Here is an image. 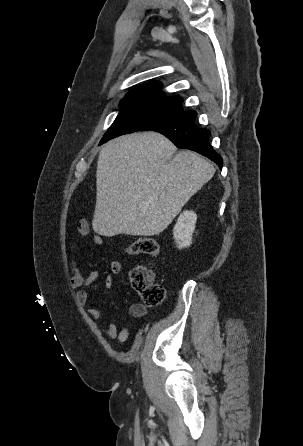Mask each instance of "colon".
Segmentation results:
<instances>
[{
  "instance_id": "1",
  "label": "colon",
  "mask_w": 303,
  "mask_h": 446,
  "mask_svg": "<svg viewBox=\"0 0 303 446\" xmlns=\"http://www.w3.org/2000/svg\"><path fill=\"white\" fill-rule=\"evenodd\" d=\"M159 252L160 246L153 238L137 239L125 250V253L131 256L140 254L157 256ZM130 278L133 288L145 304L156 306L163 301L164 288L154 282L152 273L145 267L140 266L133 269Z\"/></svg>"
}]
</instances>
